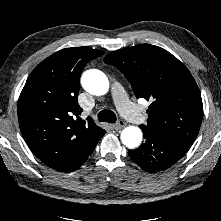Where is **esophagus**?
<instances>
[{
    "label": "esophagus",
    "instance_id": "esophagus-1",
    "mask_svg": "<svg viewBox=\"0 0 221 221\" xmlns=\"http://www.w3.org/2000/svg\"><path fill=\"white\" fill-rule=\"evenodd\" d=\"M125 126H126V123H125L123 120H120V121H118V123H116V124L114 125V128H115L116 130H121V129H123Z\"/></svg>",
    "mask_w": 221,
    "mask_h": 221
}]
</instances>
